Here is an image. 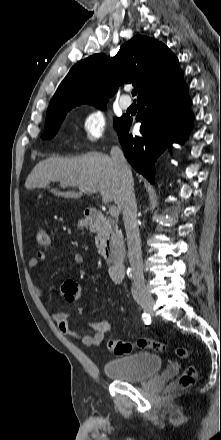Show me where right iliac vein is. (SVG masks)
Listing matches in <instances>:
<instances>
[{
	"mask_svg": "<svg viewBox=\"0 0 221 440\" xmlns=\"http://www.w3.org/2000/svg\"><path fill=\"white\" fill-rule=\"evenodd\" d=\"M140 306L144 309L145 312H147L148 314H152L153 313V305H154V300L152 297H146L145 299L139 301Z\"/></svg>",
	"mask_w": 221,
	"mask_h": 440,
	"instance_id": "right-iliac-vein-1",
	"label": "right iliac vein"
}]
</instances>
